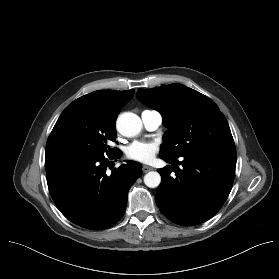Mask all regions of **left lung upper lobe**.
<instances>
[{"instance_id": "left-lung-upper-lobe-1", "label": "left lung upper lobe", "mask_w": 279, "mask_h": 279, "mask_svg": "<svg viewBox=\"0 0 279 279\" xmlns=\"http://www.w3.org/2000/svg\"><path fill=\"white\" fill-rule=\"evenodd\" d=\"M138 99L159 111L168 128L160 157L177 159L211 149L235 150L225 116L207 96L181 84L138 89Z\"/></svg>"}]
</instances>
